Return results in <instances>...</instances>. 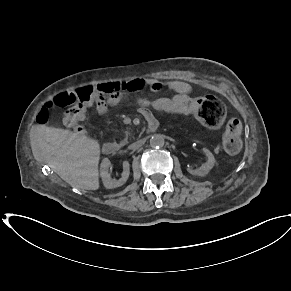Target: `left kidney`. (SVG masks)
I'll return each mask as SVG.
<instances>
[{"label": "left kidney", "instance_id": "5707ae66", "mask_svg": "<svg viewBox=\"0 0 291 291\" xmlns=\"http://www.w3.org/2000/svg\"><path fill=\"white\" fill-rule=\"evenodd\" d=\"M203 152L207 156L206 163L202 164V166L197 168V169L188 168V172L190 174L203 177V176L207 175L209 173V171L213 168V166L215 164L214 155L206 148H203Z\"/></svg>", "mask_w": 291, "mask_h": 291}]
</instances>
